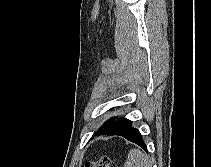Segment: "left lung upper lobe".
<instances>
[{
  "mask_svg": "<svg viewBox=\"0 0 211 167\" xmlns=\"http://www.w3.org/2000/svg\"><path fill=\"white\" fill-rule=\"evenodd\" d=\"M113 119H114V118H111L110 120L106 121V122L104 123V125H107V124L111 123V122L113 121Z\"/></svg>",
  "mask_w": 211,
  "mask_h": 167,
  "instance_id": "left-lung-upper-lobe-1",
  "label": "left lung upper lobe"
}]
</instances>
